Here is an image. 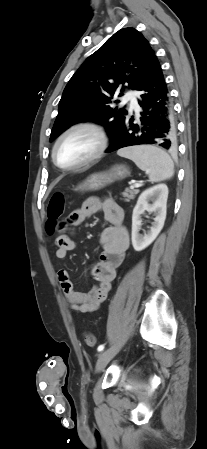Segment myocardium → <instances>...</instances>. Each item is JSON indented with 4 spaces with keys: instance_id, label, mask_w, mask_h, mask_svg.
<instances>
[{
    "instance_id": "f54148a6",
    "label": "myocardium",
    "mask_w": 207,
    "mask_h": 449,
    "mask_svg": "<svg viewBox=\"0 0 207 449\" xmlns=\"http://www.w3.org/2000/svg\"><path fill=\"white\" fill-rule=\"evenodd\" d=\"M78 130H87V131H90L91 133H93L97 139V147H96L95 151L87 158H85L77 163H74L72 165L62 166L58 163V161L56 159V150H57L60 142L65 137H67L69 134H71L75 131H78ZM107 146H108V134L102 126H100L96 123H93V122H77L75 124H72L68 128H66L56 139V141L53 145V148H52V160H53L54 164L62 170L77 169L82 166L91 164L94 161H96L97 159H99L106 151Z\"/></svg>"
}]
</instances>
